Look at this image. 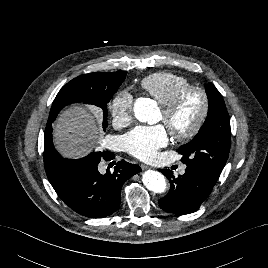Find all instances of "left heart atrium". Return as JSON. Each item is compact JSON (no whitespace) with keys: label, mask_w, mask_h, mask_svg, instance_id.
<instances>
[{"label":"left heart atrium","mask_w":268,"mask_h":268,"mask_svg":"<svg viewBox=\"0 0 268 268\" xmlns=\"http://www.w3.org/2000/svg\"><path fill=\"white\" fill-rule=\"evenodd\" d=\"M125 150L133 157L152 161L158 150L168 143L167 130L163 125L138 126L123 138Z\"/></svg>","instance_id":"obj_1"}]
</instances>
